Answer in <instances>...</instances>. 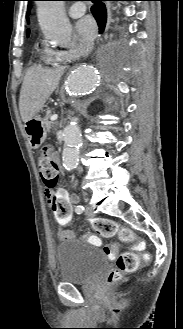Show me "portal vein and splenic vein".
Listing matches in <instances>:
<instances>
[{
  "instance_id": "obj_1",
  "label": "portal vein and splenic vein",
  "mask_w": 183,
  "mask_h": 329,
  "mask_svg": "<svg viewBox=\"0 0 183 329\" xmlns=\"http://www.w3.org/2000/svg\"><path fill=\"white\" fill-rule=\"evenodd\" d=\"M57 118H58L57 114H54L51 116L50 119H51V121H55V120H57Z\"/></svg>"
}]
</instances>
